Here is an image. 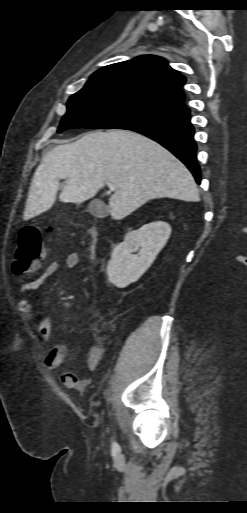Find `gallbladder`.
<instances>
[{"mask_svg": "<svg viewBox=\"0 0 247 513\" xmlns=\"http://www.w3.org/2000/svg\"><path fill=\"white\" fill-rule=\"evenodd\" d=\"M88 211L95 217H106L109 213L108 206H106L100 199L91 201L88 205Z\"/></svg>", "mask_w": 247, "mask_h": 513, "instance_id": "1", "label": "gallbladder"}]
</instances>
